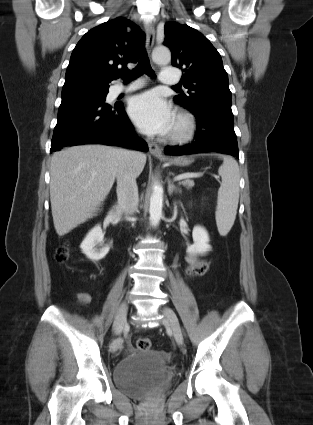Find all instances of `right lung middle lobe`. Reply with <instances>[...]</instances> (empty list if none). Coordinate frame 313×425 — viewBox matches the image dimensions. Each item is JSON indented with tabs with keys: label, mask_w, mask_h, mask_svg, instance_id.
<instances>
[{
	"label": "right lung middle lobe",
	"mask_w": 313,
	"mask_h": 425,
	"mask_svg": "<svg viewBox=\"0 0 313 425\" xmlns=\"http://www.w3.org/2000/svg\"><path fill=\"white\" fill-rule=\"evenodd\" d=\"M93 92L100 94V95H106L107 92H108V88L95 89V90H93Z\"/></svg>",
	"instance_id": "right-lung-middle-lobe-1"
}]
</instances>
